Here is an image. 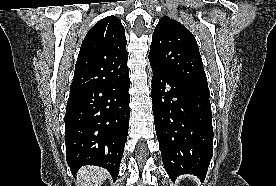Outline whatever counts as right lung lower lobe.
<instances>
[{
  "label": "right lung lower lobe",
  "mask_w": 276,
  "mask_h": 186,
  "mask_svg": "<svg viewBox=\"0 0 276 186\" xmlns=\"http://www.w3.org/2000/svg\"><path fill=\"white\" fill-rule=\"evenodd\" d=\"M129 74L113 83L70 91L65 114L66 159L75 175L83 165L118 177L130 117Z\"/></svg>",
  "instance_id": "98d812e1"
}]
</instances>
